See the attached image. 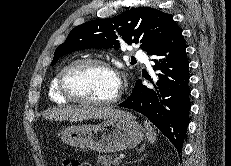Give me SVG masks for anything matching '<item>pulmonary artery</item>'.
Wrapping results in <instances>:
<instances>
[{"mask_svg":"<svg viewBox=\"0 0 231 166\" xmlns=\"http://www.w3.org/2000/svg\"><path fill=\"white\" fill-rule=\"evenodd\" d=\"M135 56H136L138 59L147 62V58H146L145 54L142 53L141 51H136V52H135Z\"/></svg>","mask_w":231,"mask_h":166,"instance_id":"pulmonary-artery-1","label":"pulmonary artery"}]
</instances>
